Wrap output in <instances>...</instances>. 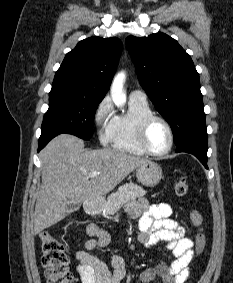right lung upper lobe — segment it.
I'll return each mask as SVG.
<instances>
[{"mask_svg": "<svg viewBox=\"0 0 233 283\" xmlns=\"http://www.w3.org/2000/svg\"><path fill=\"white\" fill-rule=\"evenodd\" d=\"M122 44L117 37H90L66 54L52 88L103 99L115 74Z\"/></svg>", "mask_w": 233, "mask_h": 283, "instance_id": "cb5924a9", "label": "right lung upper lobe"}]
</instances>
